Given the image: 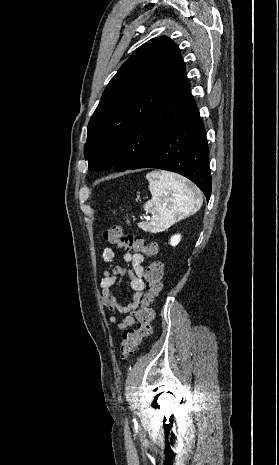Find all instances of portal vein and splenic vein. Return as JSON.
I'll return each mask as SVG.
<instances>
[{
	"mask_svg": "<svg viewBox=\"0 0 279 465\" xmlns=\"http://www.w3.org/2000/svg\"><path fill=\"white\" fill-rule=\"evenodd\" d=\"M147 219H150V217H149V216H147Z\"/></svg>",
	"mask_w": 279,
	"mask_h": 465,
	"instance_id": "portal-vein-and-splenic-vein-1",
	"label": "portal vein and splenic vein"
}]
</instances>
